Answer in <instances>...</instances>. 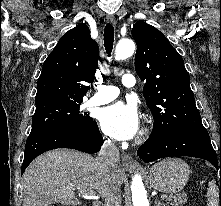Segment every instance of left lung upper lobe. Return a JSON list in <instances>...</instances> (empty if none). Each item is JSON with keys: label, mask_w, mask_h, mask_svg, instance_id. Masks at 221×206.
Listing matches in <instances>:
<instances>
[{"label": "left lung upper lobe", "mask_w": 221, "mask_h": 206, "mask_svg": "<svg viewBox=\"0 0 221 206\" xmlns=\"http://www.w3.org/2000/svg\"><path fill=\"white\" fill-rule=\"evenodd\" d=\"M135 70L145 81L143 95L154 117L150 136L206 130L196 108L184 61L167 38L143 21L133 26Z\"/></svg>", "instance_id": "5c2ea615"}]
</instances>
